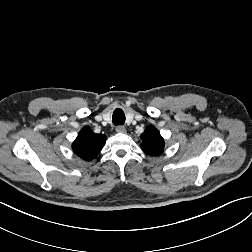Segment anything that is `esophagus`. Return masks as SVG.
I'll return each instance as SVG.
<instances>
[{
    "label": "esophagus",
    "mask_w": 252,
    "mask_h": 252,
    "mask_svg": "<svg viewBox=\"0 0 252 252\" xmlns=\"http://www.w3.org/2000/svg\"><path fill=\"white\" fill-rule=\"evenodd\" d=\"M116 132L118 133H125L126 132V128L122 125H119L116 127Z\"/></svg>",
    "instance_id": "1"
}]
</instances>
